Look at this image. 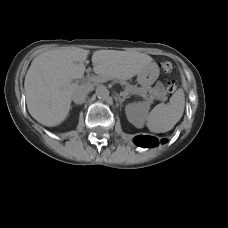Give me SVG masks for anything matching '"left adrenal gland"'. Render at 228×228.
Segmentation results:
<instances>
[{"instance_id": "obj_1", "label": "left adrenal gland", "mask_w": 228, "mask_h": 228, "mask_svg": "<svg viewBox=\"0 0 228 228\" xmlns=\"http://www.w3.org/2000/svg\"><path fill=\"white\" fill-rule=\"evenodd\" d=\"M129 98V96H123L122 98L120 96H118V101L120 103V105H122V103L125 101V99Z\"/></svg>"}]
</instances>
